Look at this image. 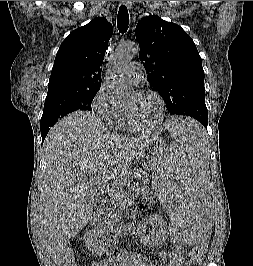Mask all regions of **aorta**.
<instances>
[{"mask_svg": "<svg viewBox=\"0 0 253 266\" xmlns=\"http://www.w3.org/2000/svg\"><path fill=\"white\" fill-rule=\"evenodd\" d=\"M138 51L139 45L135 43L118 46L114 54V59L108 67L106 82L118 98L128 97L132 91V87L124 80L120 72L122 67L129 63Z\"/></svg>", "mask_w": 253, "mask_h": 266, "instance_id": "762f6f07", "label": "aorta"}]
</instances>
